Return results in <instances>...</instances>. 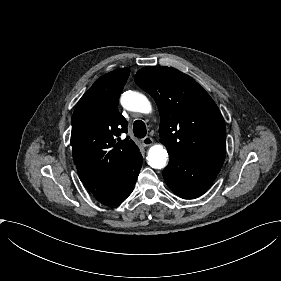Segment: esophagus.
Listing matches in <instances>:
<instances>
[{"instance_id": "34e87169", "label": "esophagus", "mask_w": 281, "mask_h": 281, "mask_svg": "<svg viewBox=\"0 0 281 281\" xmlns=\"http://www.w3.org/2000/svg\"><path fill=\"white\" fill-rule=\"evenodd\" d=\"M153 143H154V141H153V139L151 137H144L142 139V144L144 146H151V145H153Z\"/></svg>"}]
</instances>
